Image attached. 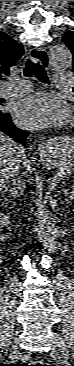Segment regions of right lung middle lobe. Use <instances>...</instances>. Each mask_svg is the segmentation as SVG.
<instances>
[{
    "mask_svg": "<svg viewBox=\"0 0 74 366\" xmlns=\"http://www.w3.org/2000/svg\"><path fill=\"white\" fill-rule=\"evenodd\" d=\"M3 102L0 100V105L2 104ZM3 114L1 111H0V115Z\"/></svg>",
    "mask_w": 74,
    "mask_h": 366,
    "instance_id": "dd1d6c3e",
    "label": "right lung middle lobe"
}]
</instances>
